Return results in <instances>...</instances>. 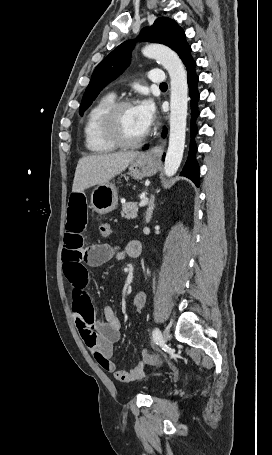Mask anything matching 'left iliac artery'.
<instances>
[{
    "label": "left iliac artery",
    "instance_id": "1",
    "mask_svg": "<svg viewBox=\"0 0 272 455\" xmlns=\"http://www.w3.org/2000/svg\"><path fill=\"white\" fill-rule=\"evenodd\" d=\"M160 339H161V332L158 328H155L153 330V340H154V342L157 343Z\"/></svg>",
    "mask_w": 272,
    "mask_h": 455
}]
</instances>
